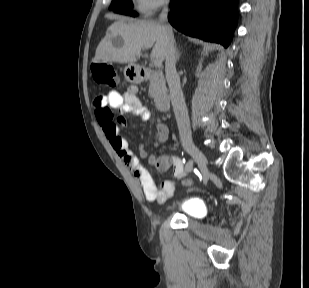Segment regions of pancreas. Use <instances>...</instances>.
I'll use <instances>...</instances> for the list:
<instances>
[{
	"label": "pancreas",
	"mask_w": 309,
	"mask_h": 288,
	"mask_svg": "<svg viewBox=\"0 0 309 288\" xmlns=\"http://www.w3.org/2000/svg\"><path fill=\"white\" fill-rule=\"evenodd\" d=\"M167 93L165 79L161 71H151L149 79V97L153 98L156 103L160 101Z\"/></svg>",
	"instance_id": "obj_1"
}]
</instances>
